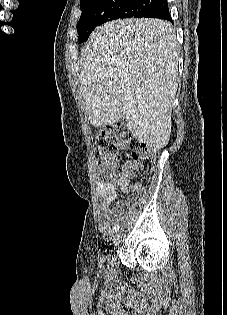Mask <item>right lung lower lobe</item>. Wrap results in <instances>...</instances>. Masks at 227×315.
Masks as SVG:
<instances>
[{"label":"right lung lower lobe","mask_w":227,"mask_h":315,"mask_svg":"<svg viewBox=\"0 0 227 315\" xmlns=\"http://www.w3.org/2000/svg\"><path fill=\"white\" fill-rule=\"evenodd\" d=\"M145 17H153L172 21L167 0H159L158 3L145 14Z\"/></svg>","instance_id":"right-lung-lower-lobe-1"}]
</instances>
